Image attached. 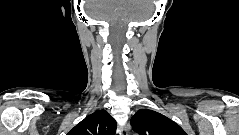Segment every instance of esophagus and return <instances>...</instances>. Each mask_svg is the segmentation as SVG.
<instances>
[{
    "instance_id": "esophagus-1",
    "label": "esophagus",
    "mask_w": 239,
    "mask_h": 135,
    "mask_svg": "<svg viewBox=\"0 0 239 135\" xmlns=\"http://www.w3.org/2000/svg\"><path fill=\"white\" fill-rule=\"evenodd\" d=\"M120 135H127L128 134V128L126 126H121L119 128Z\"/></svg>"
}]
</instances>
